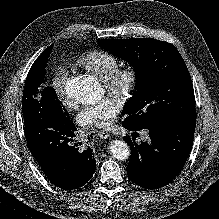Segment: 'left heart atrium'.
<instances>
[{
  "label": "left heart atrium",
  "mask_w": 219,
  "mask_h": 219,
  "mask_svg": "<svg viewBox=\"0 0 219 219\" xmlns=\"http://www.w3.org/2000/svg\"><path fill=\"white\" fill-rule=\"evenodd\" d=\"M119 109L118 101L112 97H107L84 107L77 115V121L84 128H108L118 115Z\"/></svg>",
  "instance_id": "39dd6f15"
}]
</instances>
